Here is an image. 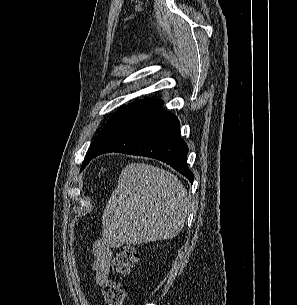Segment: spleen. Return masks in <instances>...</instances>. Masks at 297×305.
Instances as JSON below:
<instances>
[{
	"mask_svg": "<svg viewBox=\"0 0 297 305\" xmlns=\"http://www.w3.org/2000/svg\"><path fill=\"white\" fill-rule=\"evenodd\" d=\"M190 199L172 173L144 163L126 166L103 213L104 234L117 244L170 239L183 228Z\"/></svg>",
	"mask_w": 297,
	"mask_h": 305,
	"instance_id": "spleen-1",
	"label": "spleen"
}]
</instances>
